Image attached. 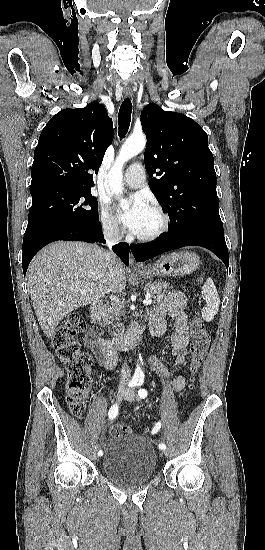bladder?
<instances>
[{"label": "bladder", "mask_w": 265, "mask_h": 550, "mask_svg": "<svg viewBox=\"0 0 265 550\" xmlns=\"http://www.w3.org/2000/svg\"><path fill=\"white\" fill-rule=\"evenodd\" d=\"M101 468L112 481L122 485H139L149 481L157 467L155 450L142 435L112 437L101 453Z\"/></svg>", "instance_id": "obj_1"}]
</instances>
